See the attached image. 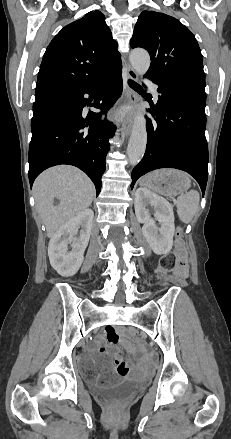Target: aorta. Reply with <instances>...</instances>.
Wrapping results in <instances>:
<instances>
[{"label":"aorta","instance_id":"obj_1","mask_svg":"<svg viewBox=\"0 0 231 439\" xmlns=\"http://www.w3.org/2000/svg\"><path fill=\"white\" fill-rule=\"evenodd\" d=\"M130 62L134 70L140 74H145L150 66V56L143 49H134L130 53ZM147 144L146 119L143 114L137 113L131 131L127 147V155L131 165L135 166L142 159Z\"/></svg>","mask_w":231,"mask_h":439}]
</instances>
